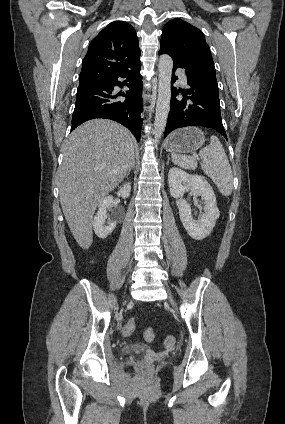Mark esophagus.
<instances>
[{"mask_svg":"<svg viewBox=\"0 0 285 424\" xmlns=\"http://www.w3.org/2000/svg\"><path fill=\"white\" fill-rule=\"evenodd\" d=\"M143 96H144V100H145V98H146V95H145V93L143 94Z\"/></svg>","mask_w":285,"mask_h":424,"instance_id":"obj_1","label":"esophagus"}]
</instances>
